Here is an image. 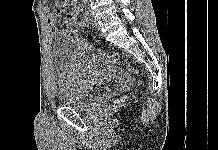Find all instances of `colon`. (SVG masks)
<instances>
[{"label":"colon","instance_id":"1","mask_svg":"<svg viewBox=\"0 0 218 150\" xmlns=\"http://www.w3.org/2000/svg\"><path fill=\"white\" fill-rule=\"evenodd\" d=\"M64 23L67 28L68 37L70 39H76L78 37V25H77V19L75 14L68 13L65 17ZM88 39L91 40L92 36L89 35ZM111 57L113 59H117L118 56L117 54H112ZM124 98L125 96H120L115 100V102L123 101Z\"/></svg>","mask_w":218,"mask_h":150}]
</instances>
